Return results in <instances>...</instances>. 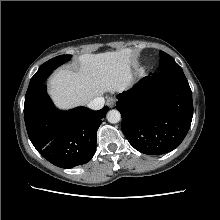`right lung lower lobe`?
<instances>
[{
	"instance_id": "98d812e1",
	"label": "right lung lower lobe",
	"mask_w": 220,
	"mask_h": 220,
	"mask_svg": "<svg viewBox=\"0 0 220 220\" xmlns=\"http://www.w3.org/2000/svg\"><path fill=\"white\" fill-rule=\"evenodd\" d=\"M108 110L105 106L98 111L86 107L58 111L42 84L25 96L24 119L36 150L58 167L72 168L93 157L97 130Z\"/></svg>"
}]
</instances>
